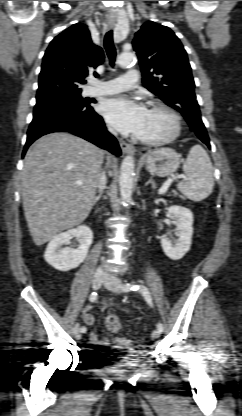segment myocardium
Masks as SVG:
<instances>
[{
  "label": "myocardium",
  "instance_id": "f54148a6",
  "mask_svg": "<svg viewBox=\"0 0 242 416\" xmlns=\"http://www.w3.org/2000/svg\"><path fill=\"white\" fill-rule=\"evenodd\" d=\"M149 109H160L167 112L171 119H172V128L171 131L164 137L155 139V140H147L136 137V140L146 146L156 147L167 144L173 141L180 133L181 130V117L179 113L176 111L174 107L164 102L155 101L149 105Z\"/></svg>",
  "mask_w": 242,
  "mask_h": 416
}]
</instances>
